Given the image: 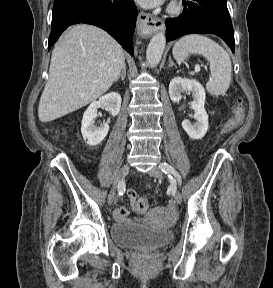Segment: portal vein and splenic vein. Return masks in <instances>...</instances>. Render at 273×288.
<instances>
[{
  "label": "portal vein and splenic vein",
  "instance_id": "18ae733b",
  "mask_svg": "<svg viewBox=\"0 0 273 288\" xmlns=\"http://www.w3.org/2000/svg\"><path fill=\"white\" fill-rule=\"evenodd\" d=\"M200 70V67H196L195 71H199Z\"/></svg>",
  "mask_w": 273,
  "mask_h": 288
}]
</instances>
